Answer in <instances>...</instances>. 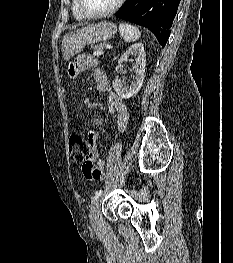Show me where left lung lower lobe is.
<instances>
[{"instance_id":"1","label":"left lung lower lobe","mask_w":233,"mask_h":263,"mask_svg":"<svg viewBox=\"0 0 233 263\" xmlns=\"http://www.w3.org/2000/svg\"><path fill=\"white\" fill-rule=\"evenodd\" d=\"M179 3L180 0H127L116 16L148 28L164 47Z\"/></svg>"}]
</instances>
